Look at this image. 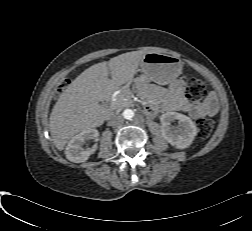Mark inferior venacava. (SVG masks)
<instances>
[{"mask_svg": "<svg viewBox=\"0 0 252 231\" xmlns=\"http://www.w3.org/2000/svg\"><path fill=\"white\" fill-rule=\"evenodd\" d=\"M121 121H122L121 116H119V115H113V116L110 118L109 124H110L111 126H117V125H119V124L121 123Z\"/></svg>", "mask_w": 252, "mask_h": 231, "instance_id": "obj_1", "label": "inferior vena cava"}]
</instances>
